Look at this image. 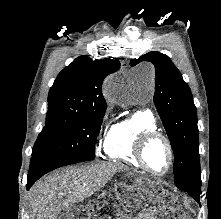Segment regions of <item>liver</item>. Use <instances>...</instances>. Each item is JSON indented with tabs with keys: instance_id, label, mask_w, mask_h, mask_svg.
Wrapping results in <instances>:
<instances>
[{
	"instance_id": "6515ba94",
	"label": "liver",
	"mask_w": 221,
	"mask_h": 219,
	"mask_svg": "<svg viewBox=\"0 0 221 219\" xmlns=\"http://www.w3.org/2000/svg\"><path fill=\"white\" fill-rule=\"evenodd\" d=\"M126 169L119 162H100L71 166L44 176L28 193L30 219H57L62 210L89 198Z\"/></svg>"
}]
</instances>
